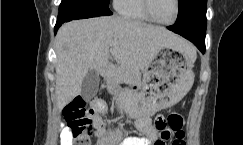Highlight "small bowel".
Here are the masks:
<instances>
[{
    "instance_id": "c3829d8e",
    "label": "small bowel",
    "mask_w": 243,
    "mask_h": 145,
    "mask_svg": "<svg viewBox=\"0 0 243 145\" xmlns=\"http://www.w3.org/2000/svg\"><path fill=\"white\" fill-rule=\"evenodd\" d=\"M94 111L93 121L96 126L94 145H166L170 138L169 133L165 138H161L153 124V120L148 116H140L136 120V128L142 136L124 137L121 130L107 131L102 114L107 112V105L104 101L96 99L91 102ZM74 136L68 126H60L59 145H74Z\"/></svg>"
}]
</instances>
